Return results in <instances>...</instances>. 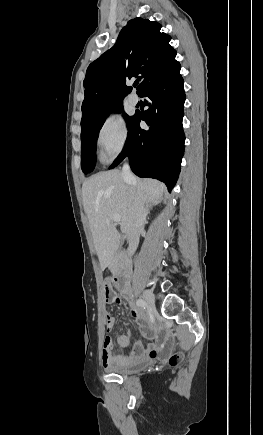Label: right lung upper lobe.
Here are the masks:
<instances>
[{
	"label": "right lung upper lobe",
	"mask_w": 263,
	"mask_h": 435,
	"mask_svg": "<svg viewBox=\"0 0 263 435\" xmlns=\"http://www.w3.org/2000/svg\"><path fill=\"white\" fill-rule=\"evenodd\" d=\"M161 25L148 19L130 20L115 45L89 65L83 85L81 128L91 125L130 92L126 80L137 77V94L176 63L171 37L160 32Z\"/></svg>",
	"instance_id": "1"
}]
</instances>
